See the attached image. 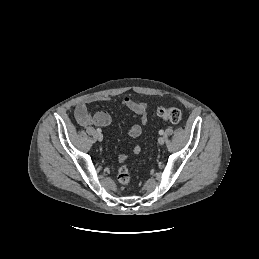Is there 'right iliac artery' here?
<instances>
[{"label": "right iliac artery", "instance_id": "1", "mask_svg": "<svg viewBox=\"0 0 259 259\" xmlns=\"http://www.w3.org/2000/svg\"><path fill=\"white\" fill-rule=\"evenodd\" d=\"M101 131H102V130H101L100 128H97V132H98V133H101Z\"/></svg>", "mask_w": 259, "mask_h": 259}]
</instances>
